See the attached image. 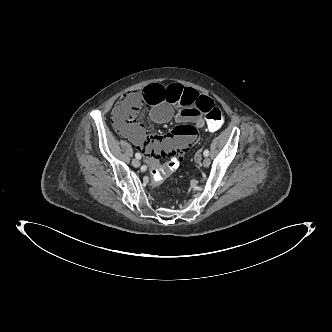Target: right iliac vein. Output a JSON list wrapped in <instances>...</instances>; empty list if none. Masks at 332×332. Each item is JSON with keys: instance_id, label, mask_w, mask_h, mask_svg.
<instances>
[{"instance_id": "63e3f726", "label": "right iliac vein", "mask_w": 332, "mask_h": 332, "mask_svg": "<svg viewBox=\"0 0 332 332\" xmlns=\"http://www.w3.org/2000/svg\"><path fill=\"white\" fill-rule=\"evenodd\" d=\"M132 165L136 168L140 167L141 163L138 159H133L132 160Z\"/></svg>"}]
</instances>
